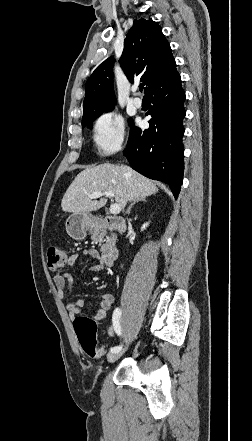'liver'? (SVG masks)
<instances>
[{
  "label": "liver",
  "mask_w": 252,
  "mask_h": 441,
  "mask_svg": "<svg viewBox=\"0 0 252 441\" xmlns=\"http://www.w3.org/2000/svg\"><path fill=\"white\" fill-rule=\"evenodd\" d=\"M112 191L117 204L124 208L128 201L145 199L158 192L156 183L127 165L104 163L87 167L73 180L64 194L61 207L64 212L89 213L99 210L106 198H89L94 192Z\"/></svg>",
  "instance_id": "6515ba94"
}]
</instances>
